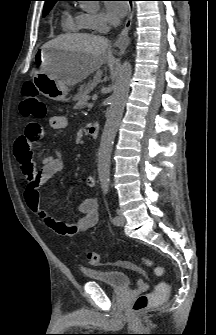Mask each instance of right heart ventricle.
<instances>
[{
	"mask_svg": "<svg viewBox=\"0 0 216 335\" xmlns=\"http://www.w3.org/2000/svg\"><path fill=\"white\" fill-rule=\"evenodd\" d=\"M61 24L65 32H83L92 29L86 14L82 12L73 13L69 9L64 11Z\"/></svg>",
	"mask_w": 216,
	"mask_h": 335,
	"instance_id": "obj_1",
	"label": "right heart ventricle"
}]
</instances>
